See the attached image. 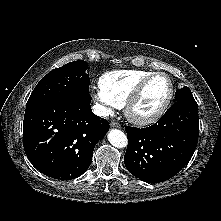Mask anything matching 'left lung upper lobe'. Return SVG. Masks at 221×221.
Masks as SVG:
<instances>
[{
  "label": "left lung upper lobe",
  "mask_w": 221,
  "mask_h": 221,
  "mask_svg": "<svg viewBox=\"0 0 221 221\" xmlns=\"http://www.w3.org/2000/svg\"><path fill=\"white\" fill-rule=\"evenodd\" d=\"M176 101L194 99L190 89L187 86L179 89L175 93Z\"/></svg>",
  "instance_id": "5c2ea615"
}]
</instances>
